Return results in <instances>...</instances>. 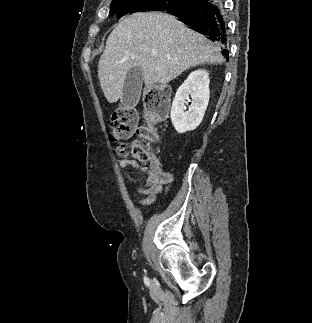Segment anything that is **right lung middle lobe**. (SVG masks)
I'll return each mask as SVG.
<instances>
[{
    "label": "right lung middle lobe",
    "instance_id": "right-lung-middle-lobe-1",
    "mask_svg": "<svg viewBox=\"0 0 312 323\" xmlns=\"http://www.w3.org/2000/svg\"><path fill=\"white\" fill-rule=\"evenodd\" d=\"M189 0H113L109 15L118 18L128 13L143 11H160L184 5Z\"/></svg>",
    "mask_w": 312,
    "mask_h": 323
}]
</instances>
